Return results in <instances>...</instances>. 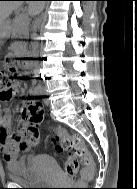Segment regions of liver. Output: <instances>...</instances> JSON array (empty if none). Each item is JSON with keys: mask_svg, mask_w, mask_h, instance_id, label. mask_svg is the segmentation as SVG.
I'll use <instances>...</instances> for the list:
<instances>
[{"mask_svg": "<svg viewBox=\"0 0 137 189\" xmlns=\"http://www.w3.org/2000/svg\"><path fill=\"white\" fill-rule=\"evenodd\" d=\"M22 1H0V26L3 24L5 19L12 13L13 10L21 6ZM30 10L33 13H37L43 8V4L36 2H29Z\"/></svg>", "mask_w": 137, "mask_h": 189, "instance_id": "1", "label": "liver"}]
</instances>
